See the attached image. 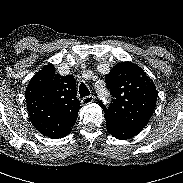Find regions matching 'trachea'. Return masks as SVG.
<instances>
[{
    "label": "trachea",
    "mask_w": 183,
    "mask_h": 183,
    "mask_svg": "<svg viewBox=\"0 0 183 183\" xmlns=\"http://www.w3.org/2000/svg\"><path fill=\"white\" fill-rule=\"evenodd\" d=\"M79 94H80V96H88V95H90L89 89L87 88V86L83 82L79 86Z\"/></svg>",
    "instance_id": "3493384b"
}]
</instances>
